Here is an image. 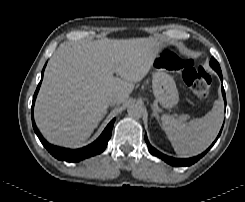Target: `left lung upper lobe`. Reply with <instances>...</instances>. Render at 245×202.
Instances as JSON below:
<instances>
[{
	"instance_id": "5c2ea615",
	"label": "left lung upper lobe",
	"mask_w": 245,
	"mask_h": 202,
	"mask_svg": "<svg viewBox=\"0 0 245 202\" xmlns=\"http://www.w3.org/2000/svg\"><path fill=\"white\" fill-rule=\"evenodd\" d=\"M210 66L218 73L221 74V68L219 66V63L217 62V60H215V58H211L210 60Z\"/></svg>"
}]
</instances>
